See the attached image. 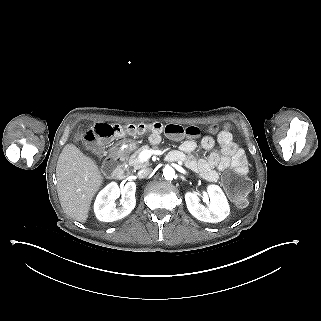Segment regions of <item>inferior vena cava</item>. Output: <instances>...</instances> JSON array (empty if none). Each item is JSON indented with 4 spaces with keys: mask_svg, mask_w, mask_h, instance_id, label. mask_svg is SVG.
I'll return each mask as SVG.
<instances>
[{
    "mask_svg": "<svg viewBox=\"0 0 321 321\" xmlns=\"http://www.w3.org/2000/svg\"><path fill=\"white\" fill-rule=\"evenodd\" d=\"M151 173H152V168H144L137 173V177L139 179H144L148 177Z\"/></svg>",
    "mask_w": 321,
    "mask_h": 321,
    "instance_id": "obj_1",
    "label": "inferior vena cava"
}]
</instances>
